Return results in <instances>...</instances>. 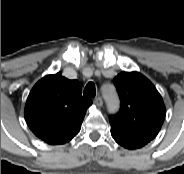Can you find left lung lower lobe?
<instances>
[{
	"label": "left lung lower lobe",
	"mask_w": 184,
	"mask_h": 174,
	"mask_svg": "<svg viewBox=\"0 0 184 174\" xmlns=\"http://www.w3.org/2000/svg\"><path fill=\"white\" fill-rule=\"evenodd\" d=\"M111 135L118 144L127 149L141 148L151 141L145 138L132 136L113 127H111Z\"/></svg>",
	"instance_id": "0a47b994"
}]
</instances>
